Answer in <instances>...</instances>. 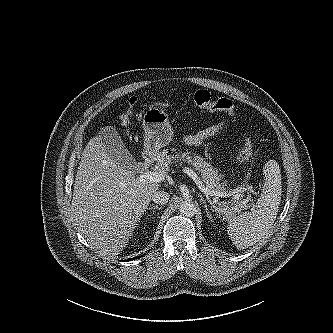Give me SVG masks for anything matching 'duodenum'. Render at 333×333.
I'll use <instances>...</instances> for the list:
<instances>
[{"label":"duodenum","instance_id":"410a0bca","mask_svg":"<svg viewBox=\"0 0 333 333\" xmlns=\"http://www.w3.org/2000/svg\"><path fill=\"white\" fill-rule=\"evenodd\" d=\"M155 160V155L153 152L151 151H147L144 156L143 159L140 163V167L141 169H146L148 168Z\"/></svg>","mask_w":333,"mask_h":333}]
</instances>
